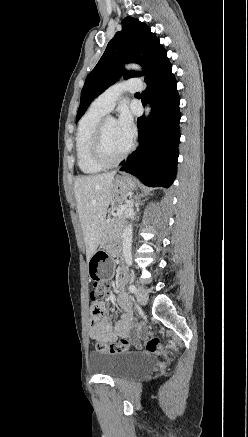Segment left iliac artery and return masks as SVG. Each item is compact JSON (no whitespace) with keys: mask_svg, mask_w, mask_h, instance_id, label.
<instances>
[{"mask_svg":"<svg viewBox=\"0 0 248 437\" xmlns=\"http://www.w3.org/2000/svg\"><path fill=\"white\" fill-rule=\"evenodd\" d=\"M129 290H130V292L135 293L136 292V286L135 285H130L129 286Z\"/></svg>","mask_w":248,"mask_h":437,"instance_id":"obj_1","label":"left iliac artery"}]
</instances>
